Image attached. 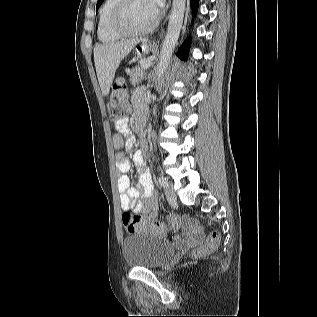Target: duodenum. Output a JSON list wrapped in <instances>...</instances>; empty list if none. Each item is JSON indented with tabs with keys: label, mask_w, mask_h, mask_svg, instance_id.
<instances>
[{
	"label": "duodenum",
	"mask_w": 317,
	"mask_h": 317,
	"mask_svg": "<svg viewBox=\"0 0 317 317\" xmlns=\"http://www.w3.org/2000/svg\"><path fill=\"white\" fill-rule=\"evenodd\" d=\"M137 133H138L140 136L143 135V129H142L140 123H139L138 126H137Z\"/></svg>",
	"instance_id": "duodenum-1"
}]
</instances>
